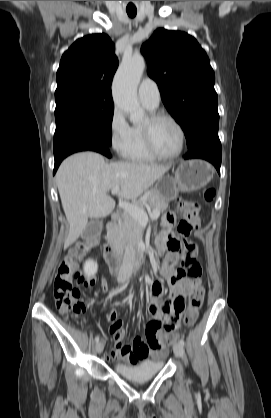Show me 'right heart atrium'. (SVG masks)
I'll list each match as a JSON object with an SVG mask.
<instances>
[{
    "instance_id": "right-heart-atrium-1",
    "label": "right heart atrium",
    "mask_w": 271,
    "mask_h": 418,
    "mask_svg": "<svg viewBox=\"0 0 271 418\" xmlns=\"http://www.w3.org/2000/svg\"><path fill=\"white\" fill-rule=\"evenodd\" d=\"M109 137L112 148L117 153L122 154L129 141L130 126L123 112L118 107L113 109L110 117Z\"/></svg>"
}]
</instances>
